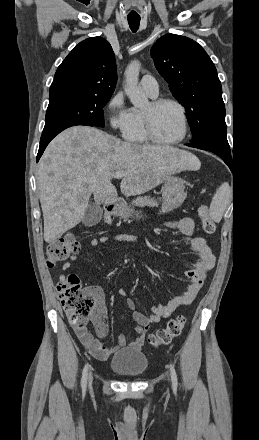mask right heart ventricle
I'll use <instances>...</instances> for the list:
<instances>
[{
  "instance_id": "right-heart-ventricle-1",
  "label": "right heart ventricle",
  "mask_w": 259,
  "mask_h": 440,
  "mask_svg": "<svg viewBox=\"0 0 259 440\" xmlns=\"http://www.w3.org/2000/svg\"><path fill=\"white\" fill-rule=\"evenodd\" d=\"M142 113L136 108L131 109L132 121L124 134V138L131 143L144 144L149 141L145 133Z\"/></svg>"
}]
</instances>
